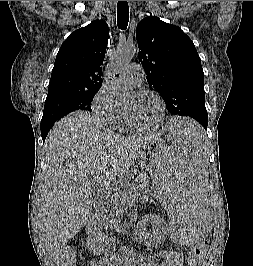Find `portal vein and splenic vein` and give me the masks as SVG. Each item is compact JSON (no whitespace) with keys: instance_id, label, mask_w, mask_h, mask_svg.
<instances>
[{"instance_id":"portal-vein-and-splenic-vein-1","label":"portal vein and splenic vein","mask_w":253,"mask_h":266,"mask_svg":"<svg viewBox=\"0 0 253 266\" xmlns=\"http://www.w3.org/2000/svg\"><path fill=\"white\" fill-rule=\"evenodd\" d=\"M94 180H95V182L100 183L101 187H104L106 190L110 191L109 183H106L105 181H103L102 177H95ZM108 196H109V194H108Z\"/></svg>"}]
</instances>
